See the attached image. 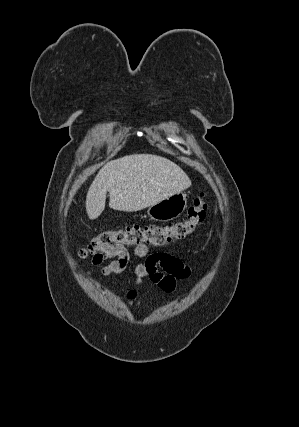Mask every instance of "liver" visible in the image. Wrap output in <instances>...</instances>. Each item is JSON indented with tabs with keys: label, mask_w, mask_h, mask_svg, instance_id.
<instances>
[{
	"label": "liver",
	"mask_w": 299,
	"mask_h": 427,
	"mask_svg": "<svg viewBox=\"0 0 299 427\" xmlns=\"http://www.w3.org/2000/svg\"><path fill=\"white\" fill-rule=\"evenodd\" d=\"M191 186L187 174L172 161L152 154H133L106 163L86 196V211L93 220L109 207L136 212Z\"/></svg>",
	"instance_id": "1"
}]
</instances>
